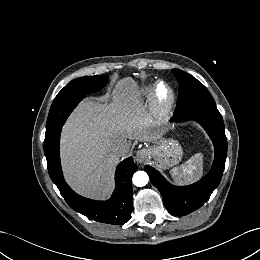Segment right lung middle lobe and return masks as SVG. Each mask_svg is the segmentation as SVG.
Wrapping results in <instances>:
<instances>
[{"label":"right lung middle lobe","instance_id":"right-lung-middle-lobe-1","mask_svg":"<svg viewBox=\"0 0 260 260\" xmlns=\"http://www.w3.org/2000/svg\"><path fill=\"white\" fill-rule=\"evenodd\" d=\"M107 81L106 75L85 76L66 85L52 103L45 138L52 137L62 127L68 115L84 96L102 89Z\"/></svg>","mask_w":260,"mask_h":260}]
</instances>
